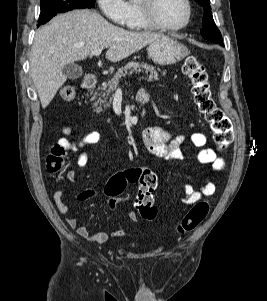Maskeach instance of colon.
Instances as JSON below:
<instances>
[{
  "mask_svg": "<svg viewBox=\"0 0 267 301\" xmlns=\"http://www.w3.org/2000/svg\"><path fill=\"white\" fill-rule=\"evenodd\" d=\"M183 73L192 82V93L198 110L208 122L213 140L221 150L226 149L233 141V127L230 119L216 105L210 90L208 75L203 64L194 56H188L183 64ZM65 101H72L76 96L73 85H65L60 91ZM65 159V149L54 146L46 158V168L52 175H58ZM138 184V195L135 207L146 220H154L157 209L154 205L153 192L157 186L156 174L146 167L132 166L114 173L103 185L102 193L108 205L127 192V189ZM209 204L206 201L196 203L177 225V232L188 233L197 228L207 217Z\"/></svg>",
  "mask_w": 267,
  "mask_h": 301,
  "instance_id": "colon-1",
  "label": "colon"
}]
</instances>
